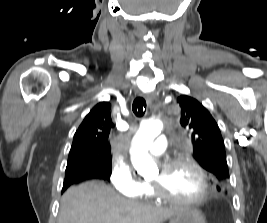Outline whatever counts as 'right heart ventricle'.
Segmentation results:
<instances>
[{
    "mask_svg": "<svg viewBox=\"0 0 267 223\" xmlns=\"http://www.w3.org/2000/svg\"><path fill=\"white\" fill-rule=\"evenodd\" d=\"M140 196H144L146 198H152L153 197L150 186L147 183H144Z\"/></svg>",
    "mask_w": 267,
    "mask_h": 223,
    "instance_id": "right-heart-ventricle-1",
    "label": "right heart ventricle"
}]
</instances>
